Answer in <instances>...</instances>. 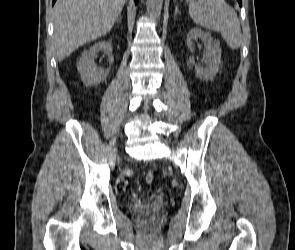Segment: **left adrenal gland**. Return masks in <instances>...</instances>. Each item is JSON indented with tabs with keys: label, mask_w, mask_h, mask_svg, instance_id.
<instances>
[{
	"label": "left adrenal gland",
	"mask_w": 295,
	"mask_h": 250,
	"mask_svg": "<svg viewBox=\"0 0 295 250\" xmlns=\"http://www.w3.org/2000/svg\"><path fill=\"white\" fill-rule=\"evenodd\" d=\"M177 14H180V11H179V9L176 7V8H175V11H174V17H175Z\"/></svg>",
	"instance_id": "left-adrenal-gland-1"
}]
</instances>
